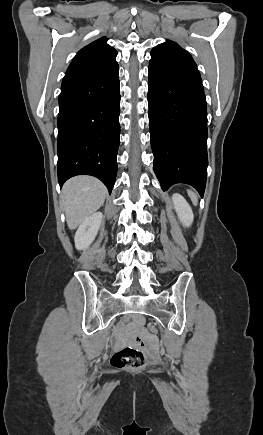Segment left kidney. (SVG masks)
Instances as JSON below:
<instances>
[{
	"instance_id": "obj_1",
	"label": "left kidney",
	"mask_w": 263,
	"mask_h": 435,
	"mask_svg": "<svg viewBox=\"0 0 263 435\" xmlns=\"http://www.w3.org/2000/svg\"><path fill=\"white\" fill-rule=\"evenodd\" d=\"M172 200L180 222L185 227L191 226L194 220V215L188 202L183 196L177 193L173 194Z\"/></svg>"
}]
</instances>
